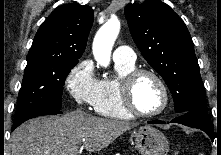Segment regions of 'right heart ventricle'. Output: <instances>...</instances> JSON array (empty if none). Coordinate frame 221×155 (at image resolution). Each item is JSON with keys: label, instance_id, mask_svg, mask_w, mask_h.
<instances>
[{"label": "right heart ventricle", "instance_id": "e07e8e85", "mask_svg": "<svg viewBox=\"0 0 221 155\" xmlns=\"http://www.w3.org/2000/svg\"><path fill=\"white\" fill-rule=\"evenodd\" d=\"M117 76L98 80L97 95L94 110L98 114L115 119H130L133 117L123 106L120 96L122 78L135 69L134 63L115 61Z\"/></svg>", "mask_w": 221, "mask_h": 155}]
</instances>
